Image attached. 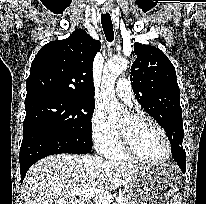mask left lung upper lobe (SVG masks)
Here are the masks:
<instances>
[{
  "label": "left lung upper lobe",
  "mask_w": 206,
  "mask_h": 204,
  "mask_svg": "<svg viewBox=\"0 0 206 204\" xmlns=\"http://www.w3.org/2000/svg\"><path fill=\"white\" fill-rule=\"evenodd\" d=\"M134 52L137 59L130 76L134 95L142 108L164 128L171 146L182 148V109L174 66L156 47L135 43Z\"/></svg>",
  "instance_id": "left-lung-upper-lobe-1"
}]
</instances>
